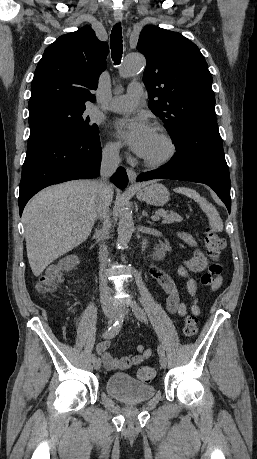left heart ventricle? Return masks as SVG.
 Listing matches in <instances>:
<instances>
[{
  "label": "left heart ventricle",
  "mask_w": 257,
  "mask_h": 459,
  "mask_svg": "<svg viewBox=\"0 0 257 459\" xmlns=\"http://www.w3.org/2000/svg\"><path fill=\"white\" fill-rule=\"evenodd\" d=\"M168 150L167 144L162 137L154 130L153 137L148 146V149L143 157L149 159H157L166 154Z\"/></svg>",
  "instance_id": "b2bd125f"
}]
</instances>
